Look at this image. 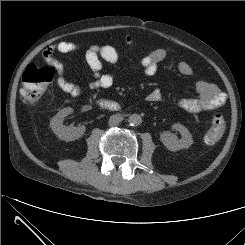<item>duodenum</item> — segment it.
Returning <instances> with one entry per match:
<instances>
[{
    "label": "duodenum",
    "instance_id": "obj_1",
    "mask_svg": "<svg viewBox=\"0 0 245 245\" xmlns=\"http://www.w3.org/2000/svg\"><path fill=\"white\" fill-rule=\"evenodd\" d=\"M98 103L101 107L107 110H119L120 105L114 101L107 100V99H99Z\"/></svg>",
    "mask_w": 245,
    "mask_h": 245
}]
</instances>
